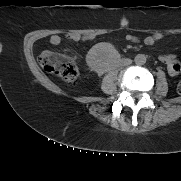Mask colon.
<instances>
[{
    "label": "colon",
    "mask_w": 181,
    "mask_h": 181,
    "mask_svg": "<svg viewBox=\"0 0 181 181\" xmlns=\"http://www.w3.org/2000/svg\"><path fill=\"white\" fill-rule=\"evenodd\" d=\"M39 62L46 72L62 78L69 84L76 83L79 78L77 65L62 54L45 51L41 53ZM178 92L181 94V81L178 84Z\"/></svg>",
    "instance_id": "obj_1"
}]
</instances>
